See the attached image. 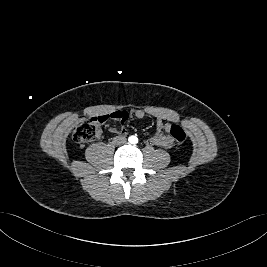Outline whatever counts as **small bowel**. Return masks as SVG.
I'll return each instance as SVG.
<instances>
[{
  "instance_id": "small-bowel-1",
  "label": "small bowel",
  "mask_w": 267,
  "mask_h": 267,
  "mask_svg": "<svg viewBox=\"0 0 267 267\" xmlns=\"http://www.w3.org/2000/svg\"><path fill=\"white\" fill-rule=\"evenodd\" d=\"M120 111H114L111 112L105 116H115L117 115ZM124 112V111H123ZM127 115V119L129 116H132L138 120H142L146 116V112L144 110L138 109V110H133L130 113L124 112ZM156 118V132L155 134L151 137L150 141L152 144L162 147V148H171L174 145V139L173 137L169 134L170 133V127L172 125V120L169 116L166 115H155ZM120 121L118 117H115V119ZM124 124L126 121L122 122ZM110 131L112 133H124L125 128L121 126L120 128L118 127H111Z\"/></svg>"
}]
</instances>
